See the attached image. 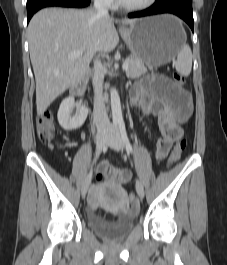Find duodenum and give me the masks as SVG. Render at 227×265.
Instances as JSON below:
<instances>
[{"mask_svg":"<svg viewBox=\"0 0 227 265\" xmlns=\"http://www.w3.org/2000/svg\"><path fill=\"white\" fill-rule=\"evenodd\" d=\"M86 89V78L81 77L76 80L71 86V93L77 97L84 95Z\"/></svg>","mask_w":227,"mask_h":265,"instance_id":"1","label":"duodenum"}]
</instances>
